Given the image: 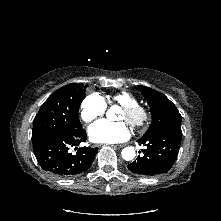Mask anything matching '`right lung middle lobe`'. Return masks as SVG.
<instances>
[{
  "label": "right lung middle lobe",
  "instance_id": "obj_1",
  "mask_svg": "<svg viewBox=\"0 0 221 221\" xmlns=\"http://www.w3.org/2000/svg\"><path fill=\"white\" fill-rule=\"evenodd\" d=\"M87 85L71 83L55 91L41 106L33 121L32 140L54 132L82 130L78 110Z\"/></svg>",
  "mask_w": 221,
  "mask_h": 221
}]
</instances>
